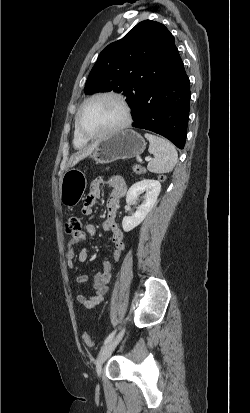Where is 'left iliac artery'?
<instances>
[{"mask_svg": "<svg viewBox=\"0 0 250 413\" xmlns=\"http://www.w3.org/2000/svg\"><path fill=\"white\" fill-rule=\"evenodd\" d=\"M115 333H116V330H114L112 333H110V334L106 337V339H105V341H104V345H106L109 341H111V340L113 339Z\"/></svg>", "mask_w": 250, "mask_h": 413, "instance_id": "44dca946", "label": "left iliac artery"}]
</instances>
